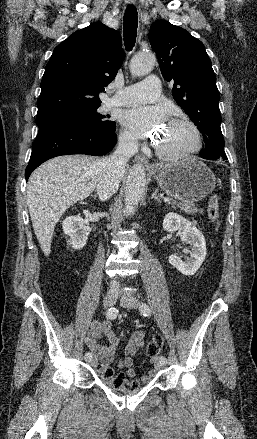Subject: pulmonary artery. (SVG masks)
Segmentation results:
<instances>
[{
	"label": "pulmonary artery",
	"mask_w": 257,
	"mask_h": 439,
	"mask_svg": "<svg viewBox=\"0 0 257 439\" xmlns=\"http://www.w3.org/2000/svg\"><path fill=\"white\" fill-rule=\"evenodd\" d=\"M160 96V81L156 76H149L142 82L124 88H114V94L109 99L111 106L136 105L152 102Z\"/></svg>",
	"instance_id": "1"
}]
</instances>
